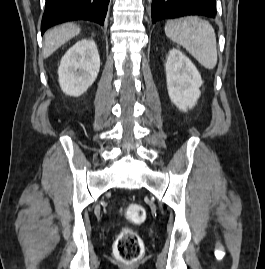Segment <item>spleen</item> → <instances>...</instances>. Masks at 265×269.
<instances>
[{"mask_svg": "<svg viewBox=\"0 0 265 269\" xmlns=\"http://www.w3.org/2000/svg\"><path fill=\"white\" fill-rule=\"evenodd\" d=\"M166 36L184 47L203 67L213 69L217 64V45L213 27L196 16L169 20Z\"/></svg>", "mask_w": 265, "mask_h": 269, "instance_id": "spleen-1", "label": "spleen"}]
</instances>
